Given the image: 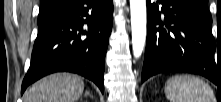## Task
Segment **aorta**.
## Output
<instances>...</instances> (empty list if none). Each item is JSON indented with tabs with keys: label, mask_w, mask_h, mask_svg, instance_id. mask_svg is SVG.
Wrapping results in <instances>:
<instances>
[{
	"label": "aorta",
	"mask_w": 221,
	"mask_h": 102,
	"mask_svg": "<svg viewBox=\"0 0 221 102\" xmlns=\"http://www.w3.org/2000/svg\"><path fill=\"white\" fill-rule=\"evenodd\" d=\"M130 9L133 55L139 58L146 41V0H130Z\"/></svg>",
	"instance_id": "1"
}]
</instances>
